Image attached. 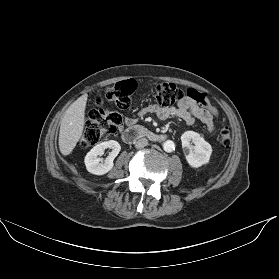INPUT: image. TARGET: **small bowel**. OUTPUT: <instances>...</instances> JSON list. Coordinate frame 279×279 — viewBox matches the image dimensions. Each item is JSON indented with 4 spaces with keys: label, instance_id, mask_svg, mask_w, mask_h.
Masks as SVG:
<instances>
[{
    "label": "small bowel",
    "instance_id": "c3829d8e",
    "mask_svg": "<svg viewBox=\"0 0 279 279\" xmlns=\"http://www.w3.org/2000/svg\"><path fill=\"white\" fill-rule=\"evenodd\" d=\"M153 113L161 120L171 117L183 119L187 124L191 125L197 120L203 122L209 133L215 130L213 122V113L203 106L198 105L192 98L186 96L178 102L176 106L160 107L158 105H151L138 113V117H143L146 113ZM135 122L132 118H125L124 125L131 126Z\"/></svg>",
    "mask_w": 279,
    "mask_h": 279
}]
</instances>
